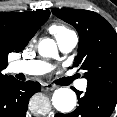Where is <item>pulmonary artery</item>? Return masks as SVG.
I'll use <instances>...</instances> for the list:
<instances>
[{
	"label": "pulmonary artery",
	"instance_id": "e3ab8cb5",
	"mask_svg": "<svg viewBox=\"0 0 117 117\" xmlns=\"http://www.w3.org/2000/svg\"><path fill=\"white\" fill-rule=\"evenodd\" d=\"M60 51L64 54L70 53L77 45L78 37L75 32L70 31L58 38H56ZM53 68L52 65L44 61L30 60V61H15L11 64V69L16 73H23L26 75H43ZM77 88L85 91L87 87V80L82 79L77 82Z\"/></svg>",
	"mask_w": 117,
	"mask_h": 117
}]
</instances>
